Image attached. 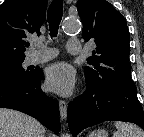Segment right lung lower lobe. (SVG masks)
Here are the masks:
<instances>
[{"mask_svg": "<svg viewBox=\"0 0 144 137\" xmlns=\"http://www.w3.org/2000/svg\"><path fill=\"white\" fill-rule=\"evenodd\" d=\"M42 71L25 82H0V108L19 110L35 117L54 132L60 131L59 107L40 87Z\"/></svg>", "mask_w": 144, "mask_h": 137, "instance_id": "1", "label": "right lung lower lobe"}]
</instances>
